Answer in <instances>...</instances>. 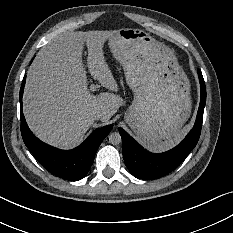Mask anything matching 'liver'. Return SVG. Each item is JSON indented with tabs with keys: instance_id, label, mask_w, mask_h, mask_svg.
I'll return each mask as SVG.
<instances>
[{
	"instance_id": "6515ba94",
	"label": "liver",
	"mask_w": 233,
	"mask_h": 233,
	"mask_svg": "<svg viewBox=\"0 0 233 233\" xmlns=\"http://www.w3.org/2000/svg\"><path fill=\"white\" fill-rule=\"evenodd\" d=\"M114 30L69 31L55 36L31 62L23 90V114L42 142L61 149L79 146L93 124L91 114L107 122L123 106L116 82L106 65L102 46ZM88 54L83 60V43ZM88 74L106 91L91 94Z\"/></svg>"
}]
</instances>
